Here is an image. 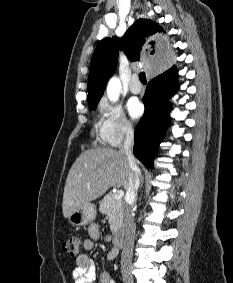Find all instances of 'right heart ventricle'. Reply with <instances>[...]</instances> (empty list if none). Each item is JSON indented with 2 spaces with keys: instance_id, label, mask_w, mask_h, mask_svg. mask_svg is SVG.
Segmentation results:
<instances>
[{
  "instance_id": "1",
  "label": "right heart ventricle",
  "mask_w": 233,
  "mask_h": 283,
  "mask_svg": "<svg viewBox=\"0 0 233 283\" xmlns=\"http://www.w3.org/2000/svg\"><path fill=\"white\" fill-rule=\"evenodd\" d=\"M104 128H103V122L97 121L93 127V134L97 137L100 138L102 141L104 140Z\"/></svg>"
}]
</instances>
